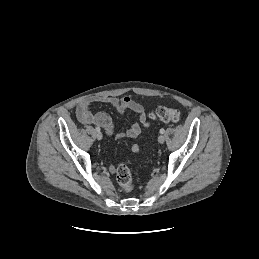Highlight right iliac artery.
<instances>
[{"instance_id":"82829eb1","label":"right iliac artery","mask_w":259,"mask_h":259,"mask_svg":"<svg viewBox=\"0 0 259 259\" xmlns=\"http://www.w3.org/2000/svg\"><path fill=\"white\" fill-rule=\"evenodd\" d=\"M95 130H96L97 132H100V127H96Z\"/></svg>"}]
</instances>
